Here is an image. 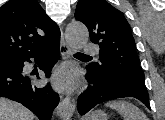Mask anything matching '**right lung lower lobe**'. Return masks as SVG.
Wrapping results in <instances>:
<instances>
[{
    "label": "right lung lower lobe",
    "instance_id": "right-lung-lower-lobe-1",
    "mask_svg": "<svg viewBox=\"0 0 165 120\" xmlns=\"http://www.w3.org/2000/svg\"><path fill=\"white\" fill-rule=\"evenodd\" d=\"M59 45L60 38L34 53L1 65L0 97H7L22 103L40 120H50L53 109L59 103L58 94L49 84L42 89L36 87L32 78L23 73V67L24 62H31L30 58H34L39 68L45 72L46 77H49L52 67L60 58Z\"/></svg>",
    "mask_w": 165,
    "mask_h": 120
}]
</instances>
